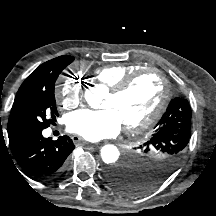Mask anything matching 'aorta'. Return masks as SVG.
Returning <instances> with one entry per match:
<instances>
[{
	"label": "aorta",
	"instance_id": "1",
	"mask_svg": "<svg viewBox=\"0 0 216 216\" xmlns=\"http://www.w3.org/2000/svg\"><path fill=\"white\" fill-rule=\"evenodd\" d=\"M105 96V90L103 87H93L91 90L85 92V100L88 105L96 109L100 106L101 100ZM101 158L106 164H114L119 158V150L116 146L112 144L104 145L101 148Z\"/></svg>",
	"mask_w": 216,
	"mask_h": 216
}]
</instances>
